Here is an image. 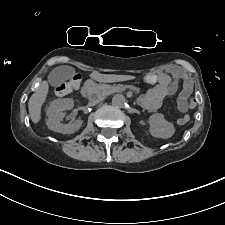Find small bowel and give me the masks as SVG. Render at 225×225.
Returning <instances> with one entry per match:
<instances>
[{
  "label": "small bowel",
  "mask_w": 225,
  "mask_h": 225,
  "mask_svg": "<svg viewBox=\"0 0 225 225\" xmlns=\"http://www.w3.org/2000/svg\"><path fill=\"white\" fill-rule=\"evenodd\" d=\"M161 82L149 89L140 99V104L149 112H155L159 109L165 97L173 95L182 84V90L178 95V110L181 113L187 111V99L193 90L192 79L179 67H169L160 73ZM189 120L188 115H183L177 119V124L182 125V119Z\"/></svg>",
  "instance_id": "c3829d8e"
}]
</instances>
